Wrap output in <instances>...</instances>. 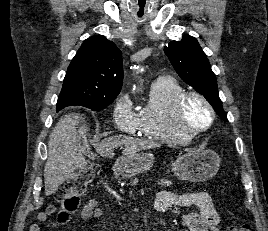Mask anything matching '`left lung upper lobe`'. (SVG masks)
<instances>
[{
    "label": "left lung upper lobe",
    "instance_id": "left-lung-upper-lobe-1",
    "mask_svg": "<svg viewBox=\"0 0 268 231\" xmlns=\"http://www.w3.org/2000/svg\"><path fill=\"white\" fill-rule=\"evenodd\" d=\"M164 52L180 78L202 94L216 113L228 121L219 98L216 76L198 41L185 36L181 41H171L164 47Z\"/></svg>",
    "mask_w": 268,
    "mask_h": 231
}]
</instances>
